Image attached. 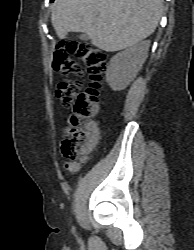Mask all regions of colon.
I'll return each instance as SVG.
<instances>
[{
  "instance_id": "1",
  "label": "colon",
  "mask_w": 194,
  "mask_h": 250,
  "mask_svg": "<svg viewBox=\"0 0 194 250\" xmlns=\"http://www.w3.org/2000/svg\"><path fill=\"white\" fill-rule=\"evenodd\" d=\"M77 59L86 66L90 86L81 91L79 81L66 79L56 88V96L62 106L70 110L66 138L61 143V153L68 164L77 163L84 154L89 138L87 123L98 111L99 88L107 67V57L102 50L86 42L68 40L57 46L53 69L63 76L79 75L81 71Z\"/></svg>"
}]
</instances>
